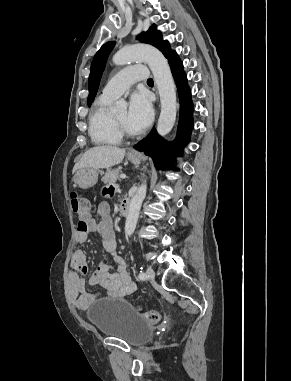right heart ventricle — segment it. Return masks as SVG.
<instances>
[{"label":"right heart ventricle","mask_w":291,"mask_h":381,"mask_svg":"<svg viewBox=\"0 0 291 381\" xmlns=\"http://www.w3.org/2000/svg\"><path fill=\"white\" fill-rule=\"evenodd\" d=\"M114 99L100 96L93 104L89 113V136L98 146L119 145L122 137L116 132L110 106Z\"/></svg>","instance_id":"obj_1"}]
</instances>
